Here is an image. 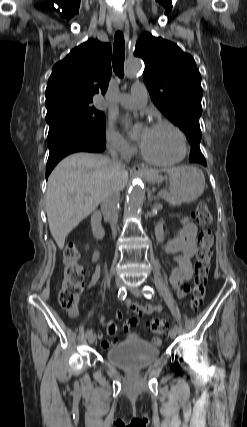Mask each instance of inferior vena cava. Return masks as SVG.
I'll return each mask as SVG.
<instances>
[{"instance_id":"602c4592","label":"inferior vena cava","mask_w":247,"mask_h":427,"mask_svg":"<svg viewBox=\"0 0 247 427\" xmlns=\"http://www.w3.org/2000/svg\"><path fill=\"white\" fill-rule=\"evenodd\" d=\"M110 153L112 163L116 166H123L121 160L118 159L117 151L114 148L110 150ZM119 200L120 193L117 191L108 192L101 200V211L104 218L110 223L114 237L116 235Z\"/></svg>"}]
</instances>
